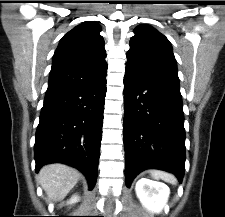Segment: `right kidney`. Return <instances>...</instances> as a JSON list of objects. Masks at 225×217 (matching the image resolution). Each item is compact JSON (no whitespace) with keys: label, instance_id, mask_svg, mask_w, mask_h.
<instances>
[{"label":"right kidney","instance_id":"right-kidney-1","mask_svg":"<svg viewBox=\"0 0 225 217\" xmlns=\"http://www.w3.org/2000/svg\"><path fill=\"white\" fill-rule=\"evenodd\" d=\"M77 201V197H73V199L71 200V203H74Z\"/></svg>","mask_w":225,"mask_h":217}]
</instances>
